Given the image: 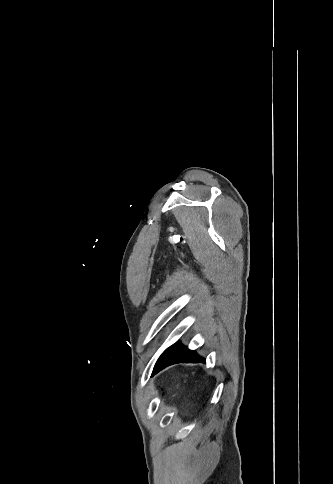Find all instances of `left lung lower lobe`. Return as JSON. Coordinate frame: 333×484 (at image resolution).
Returning <instances> with one entry per match:
<instances>
[{
	"label": "left lung lower lobe",
	"instance_id": "obj_1",
	"mask_svg": "<svg viewBox=\"0 0 333 484\" xmlns=\"http://www.w3.org/2000/svg\"><path fill=\"white\" fill-rule=\"evenodd\" d=\"M180 362L197 363L205 362V359L198 356L195 351L189 350L177 342L167 348L159 357L153 369V373H157L169 365Z\"/></svg>",
	"mask_w": 333,
	"mask_h": 484
}]
</instances>
